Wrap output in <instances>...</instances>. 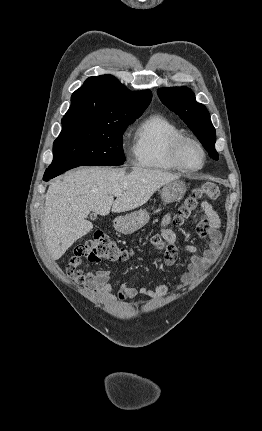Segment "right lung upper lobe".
Listing matches in <instances>:
<instances>
[{
  "label": "right lung upper lobe",
  "mask_w": 262,
  "mask_h": 431,
  "mask_svg": "<svg viewBox=\"0 0 262 431\" xmlns=\"http://www.w3.org/2000/svg\"><path fill=\"white\" fill-rule=\"evenodd\" d=\"M151 99L150 90L131 92L112 75L90 77L72 94L62 124L139 117Z\"/></svg>",
  "instance_id": "1"
}]
</instances>
